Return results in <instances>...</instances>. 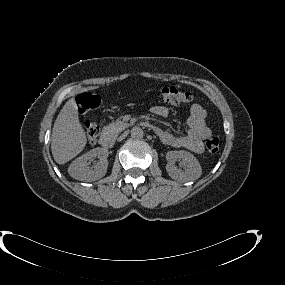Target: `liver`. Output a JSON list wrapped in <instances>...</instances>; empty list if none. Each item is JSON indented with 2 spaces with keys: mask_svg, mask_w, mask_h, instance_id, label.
Returning <instances> with one entry per match:
<instances>
[{
  "mask_svg": "<svg viewBox=\"0 0 285 285\" xmlns=\"http://www.w3.org/2000/svg\"><path fill=\"white\" fill-rule=\"evenodd\" d=\"M86 143V135L79 122L77 104L71 98L61 109L53 126L51 151L55 162L65 164L77 156Z\"/></svg>",
  "mask_w": 285,
  "mask_h": 285,
  "instance_id": "1",
  "label": "liver"
}]
</instances>
